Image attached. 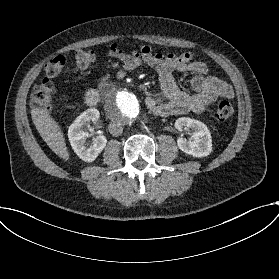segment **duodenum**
I'll return each mask as SVG.
<instances>
[{
  "instance_id": "410a0bca",
  "label": "duodenum",
  "mask_w": 279,
  "mask_h": 279,
  "mask_svg": "<svg viewBox=\"0 0 279 279\" xmlns=\"http://www.w3.org/2000/svg\"><path fill=\"white\" fill-rule=\"evenodd\" d=\"M116 88V84L112 81L103 82L99 88L90 89L85 94V104L88 107L95 106L99 100L101 95H108L113 92Z\"/></svg>"
}]
</instances>
